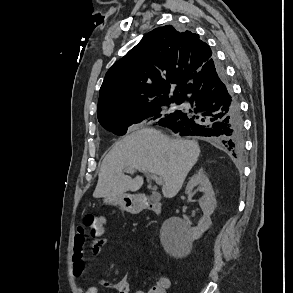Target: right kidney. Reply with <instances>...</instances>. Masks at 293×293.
<instances>
[{
	"label": "right kidney",
	"mask_w": 293,
	"mask_h": 293,
	"mask_svg": "<svg viewBox=\"0 0 293 293\" xmlns=\"http://www.w3.org/2000/svg\"><path fill=\"white\" fill-rule=\"evenodd\" d=\"M196 186L204 193L199 200V205L204 215L200 219L198 226L191 228L187 222L181 221L177 217H172L162 227L161 244L164 250L171 255H176L177 251L184 249V247H190L192 241L199 239L212 224L210 216L216 208V198L208 177L202 171L192 176L186 186V194L192 195ZM171 222H180V227H172Z\"/></svg>",
	"instance_id": "right-kidney-1"
}]
</instances>
